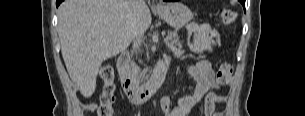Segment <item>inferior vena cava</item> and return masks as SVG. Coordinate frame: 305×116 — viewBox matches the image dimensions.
<instances>
[{
    "label": "inferior vena cava",
    "mask_w": 305,
    "mask_h": 116,
    "mask_svg": "<svg viewBox=\"0 0 305 116\" xmlns=\"http://www.w3.org/2000/svg\"><path fill=\"white\" fill-rule=\"evenodd\" d=\"M131 6H132V9L134 10V14L137 15L139 10L143 6V0H131ZM142 37H143L142 33H138L134 37V39H133V42H134L133 48L134 49H139V46L142 42Z\"/></svg>",
    "instance_id": "602c4592"
}]
</instances>
